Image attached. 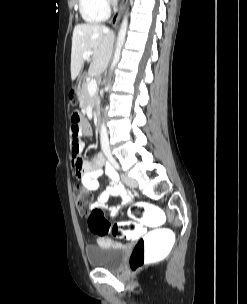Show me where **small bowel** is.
<instances>
[{
	"label": "small bowel",
	"mask_w": 247,
	"mask_h": 304,
	"mask_svg": "<svg viewBox=\"0 0 247 304\" xmlns=\"http://www.w3.org/2000/svg\"><path fill=\"white\" fill-rule=\"evenodd\" d=\"M71 119H82V112H71ZM70 151L73 167L77 178L87 191H96L99 188V177L104 174L107 178L108 185L97 198L94 208H104L105 204L111 197H120L122 203H128L132 195L126 191L117 178L114 167L109 164L102 154L95 155L91 160H83L84 143L81 137L90 136V126L83 120H71L70 125ZM120 209L110 211L112 217H117Z\"/></svg>",
	"instance_id": "obj_1"
}]
</instances>
